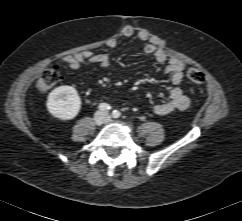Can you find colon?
Here are the masks:
<instances>
[{
  "mask_svg": "<svg viewBox=\"0 0 242 221\" xmlns=\"http://www.w3.org/2000/svg\"><path fill=\"white\" fill-rule=\"evenodd\" d=\"M188 78L191 83L195 85L202 84L204 82V73L195 67H191L188 70ZM59 80V72L56 68H48L44 70L39 79L37 80L36 87L39 92L46 93L51 90Z\"/></svg>",
  "mask_w": 242,
  "mask_h": 221,
  "instance_id": "5ec220e1",
  "label": "colon"
}]
</instances>
